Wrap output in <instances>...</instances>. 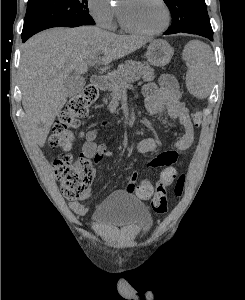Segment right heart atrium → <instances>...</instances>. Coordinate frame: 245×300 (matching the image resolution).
Segmentation results:
<instances>
[{
	"label": "right heart atrium",
	"instance_id": "1",
	"mask_svg": "<svg viewBox=\"0 0 245 300\" xmlns=\"http://www.w3.org/2000/svg\"><path fill=\"white\" fill-rule=\"evenodd\" d=\"M88 9L99 26L109 30L115 29L118 9L111 0H88Z\"/></svg>",
	"mask_w": 245,
	"mask_h": 300
}]
</instances>
